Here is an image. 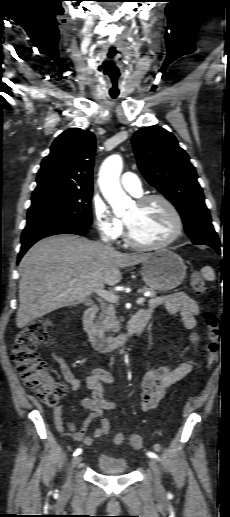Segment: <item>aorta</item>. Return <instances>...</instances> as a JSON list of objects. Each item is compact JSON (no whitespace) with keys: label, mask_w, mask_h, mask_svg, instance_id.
Segmentation results:
<instances>
[{"label":"aorta","mask_w":230,"mask_h":517,"mask_svg":"<svg viewBox=\"0 0 230 517\" xmlns=\"http://www.w3.org/2000/svg\"><path fill=\"white\" fill-rule=\"evenodd\" d=\"M122 168V158L111 155L102 163L99 172L100 190L115 213L122 212L130 201L119 181Z\"/></svg>","instance_id":"1"}]
</instances>
